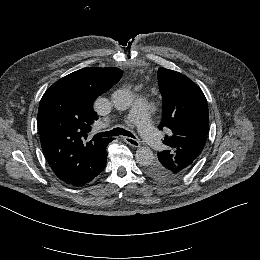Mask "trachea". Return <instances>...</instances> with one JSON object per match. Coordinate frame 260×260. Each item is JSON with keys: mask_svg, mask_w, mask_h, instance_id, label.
<instances>
[{"mask_svg": "<svg viewBox=\"0 0 260 260\" xmlns=\"http://www.w3.org/2000/svg\"><path fill=\"white\" fill-rule=\"evenodd\" d=\"M119 135H124V136H128L131 138H135L134 135L122 128H114L113 130L110 131H106V132H98L97 136L99 137H113V136H119Z\"/></svg>", "mask_w": 260, "mask_h": 260, "instance_id": "1", "label": "trachea"}]
</instances>
